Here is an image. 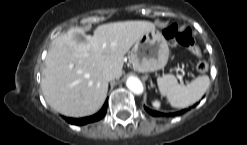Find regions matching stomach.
Masks as SVG:
<instances>
[{
  "instance_id": "0dacf381",
  "label": "stomach",
  "mask_w": 247,
  "mask_h": 145,
  "mask_svg": "<svg viewBox=\"0 0 247 145\" xmlns=\"http://www.w3.org/2000/svg\"><path fill=\"white\" fill-rule=\"evenodd\" d=\"M169 58V47L162 33L156 29L145 33L130 51L134 69L141 73L164 68Z\"/></svg>"
}]
</instances>
